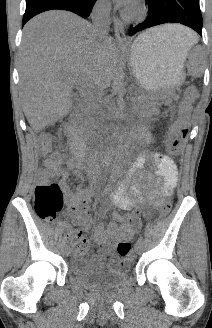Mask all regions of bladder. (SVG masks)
Segmentation results:
<instances>
[{
	"instance_id": "1",
	"label": "bladder",
	"mask_w": 212,
	"mask_h": 328,
	"mask_svg": "<svg viewBox=\"0 0 212 328\" xmlns=\"http://www.w3.org/2000/svg\"><path fill=\"white\" fill-rule=\"evenodd\" d=\"M70 271L78 283L94 291L116 289L128 279V273L122 270H115L104 274L95 273L89 269L88 259L77 256H74L70 263Z\"/></svg>"
}]
</instances>
